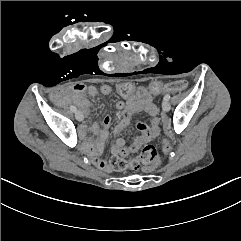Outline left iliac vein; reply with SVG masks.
I'll return each instance as SVG.
<instances>
[{
    "label": "left iliac vein",
    "instance_id": "left-iliac-vein-1",
    "mask_svg": "<svg viewBox=\"0 0 241 241\" xmlns=\"http://www.w3.org/2000/svg\"><path fill=\"white\" fill-rule=\"evenodd\" d=\"M162 108L165 112H168L170 110V104L168 101L164 100L162 103Z\"/></svg>",
    "mask_w": 241,
    "mask_h": 241
}]
</instances>
